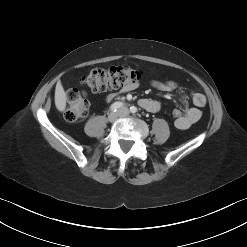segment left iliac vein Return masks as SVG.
<instances>
[{"label":"left iliac vein","mask_w":247,"mask_h":247,"mask_svg":"<svg viewBox=\"0 0 247 247\" xmlns=\"http://www.w3.org/2000/svg\"><path fill=\"white\" fill-rule=\"evenodd\" d=\"M119 112H120V116H124L128 113V110L126 108H122L119 110Z\"/></svg>","instance_id":"4c4485c4"}]
</instances>
